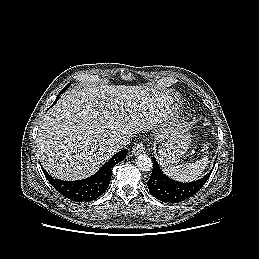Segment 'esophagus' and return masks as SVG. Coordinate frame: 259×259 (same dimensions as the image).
<instances>
[{"label":"esophagus","mask_w":259,"mask_h":259,"mask_svg":"<svg viewBox=\"0 0 259 259\" xmlns=\"http://www.w3.org/2000/svg\"><path fill=\"white\" fill-rule=\"evenodd\" d=\"M145 152V146L143 145L142 142L136 143L133 147H132V154L133 155H138L140 153H144Z\"/></svg>","instance_id":"1"}]
</instances>
